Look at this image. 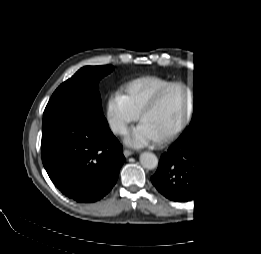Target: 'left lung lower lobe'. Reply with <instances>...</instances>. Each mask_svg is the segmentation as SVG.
Wrapping results in <instances>:
<instances>
[{
    "label": "left lung lower lobe",
    "instance_id": "1",
    "mask_svg": "<svg viewBox=\"0 0 261 254\" xmlns=\"http://www.w3.org/2000/svg\"><path fill=\"white\" fill-rule=\"evenodd\" d=\"M210 141H214L215 153H219L220 147L213 132L196 137H179L161 156L159 167L151 177L157 190L179 202L196 199L206 191L211 168L209 161L199 159L198 153L206 151L211 146Z\"/></svg>",
    "mask_w": 261,
    "mask_h": 254
}]
</instances>
